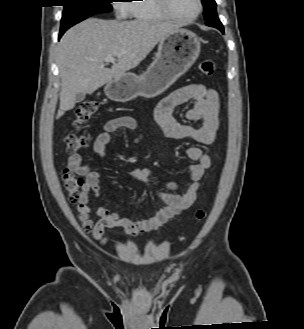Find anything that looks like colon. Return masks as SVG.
<instances>
[{"label":"colon","instance_id":"1","mask_svg":"<svg viewBox=\"0 0 304 329\" xmlns=\"http://www.w3.org/2000/svg\"><path fill=\"white\" fill-rule=\"evenodd\" d=\"M200 71L206 76L216 73V64L212 60H204L200 63ZM99 103L96 100L84 101L75 113L74 126L81 127L88 123L98 112ZM64 144L67 152H76L86 148L89 138L86 135L68 134L64 137ZM63 187L72 203H77L82 194L84 183L82 178L72 170H66L63 174ZM206 214L203 210H198L196 218L202 221Z\"/></svg>","mask_w":304,"mask_h":329}]
</instances>
